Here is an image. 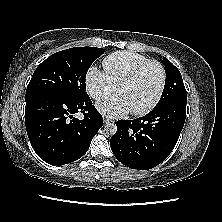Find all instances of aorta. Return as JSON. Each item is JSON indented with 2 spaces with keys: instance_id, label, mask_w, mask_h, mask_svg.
Returning <instances> with one entry per match:
<instances>
[{
  "instance_id": "obj_1",
  "label": "aorta",
  "mask_w": 222,
  "mask_h": 222,
  "mask_svg": "<svg viewBox=\"0 0 222 222\" xmlns=\"http://www.w3.org/2000/svg\"><path fill=\"white\" fill-rule=\"evenodd\" d=\"M104 130L109 135H114L117 131V126L115 123H106L104 126Z\"/></svg>"
}]
</instances>
